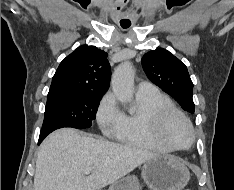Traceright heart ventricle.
Wrapping results in <instances>:
<instances>
[{
	"label": "right heart ventricle",
	"mask_w": 234,
	"mask_h": 190,
	"mask_svg": "<svg viewBox=\"0 0 234 190\" xmlns=\"http://www.w3.org/2000/svg\"><path fill=\"white\" fill-rule=\"evenodd\" d=\"M136 110L128 113L122 112V119L116 138L128 146L155 150L161 152L172 151L155 135L153 129V116L164 106H172V101L160 91L136 94Z\"/></svg>",
	"instance_id": "right-heart-ventricle-1"
}]
</instances>
